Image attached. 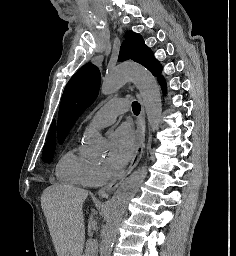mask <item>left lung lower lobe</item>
<instances>
[{
    "label": "left lung lower lobe",
    "instance_id": "left-lung-lower-lobe-1",
    "mask_svg": "<svg viewBox=\"0 0 236 256\" xmlns=\"http://www.w3.org/2000/svg\"><path fill=\"white\" fill-rule=\"evenodd\" d=\"M159 83L162 85V88L165 89V81H164V78H159Z\"/></svg>",
    "mask_w": 236,
    "mask_h": 256
}]
</instances>
